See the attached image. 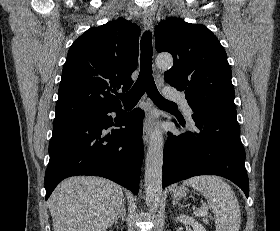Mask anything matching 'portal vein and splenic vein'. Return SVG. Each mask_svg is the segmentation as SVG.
Masks as SVG:
<instances>
[{
    "label": "portal vein and splenic vein",
    "mask_w": 280,
    "mask_h": 231,
    "mask_svg": "<svg viewBox=\"0 0 280 231\" xmlns=\"http://www.w3.org/2000/svg\"><path fill=\"white\" fill-rule=\"evenodd\" d=\"M195 215H203V217H206L208 215V207L207 205H204L203 209H198V211H194Z\"/></svg>",
    "instance_id": "obj_1"
}]
</instances>
